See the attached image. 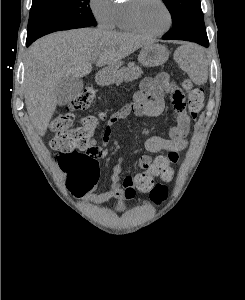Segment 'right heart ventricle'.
I'll list each match as a JSON object with an SVG mask.
<instances>
[{"instance_id": "e07e8e85", "label": "right heart ventricle", "mask_w": 245, "mask_h": 300, "mask_svg": "<svg viewBox=\"0 0 245 300\" xmlns=\"http://www.w3.org/2000/svg\"><path fill=\"white\" fill-rule=\"evenodd\" d=\"M127 3L128 0H124L123 2H119L115 4L112 27L124 32L138 33V31L132 27V25L129 23L127 19V15H126Z\"/></svg>"}]
</instances>
